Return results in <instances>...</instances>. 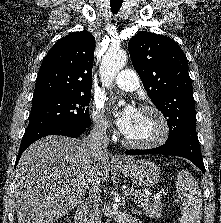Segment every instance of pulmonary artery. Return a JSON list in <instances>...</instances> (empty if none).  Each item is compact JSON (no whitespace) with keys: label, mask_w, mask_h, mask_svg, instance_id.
I'll return each mask as SVG.
<instances>
[{"label":"pulmonary artery","mask_w":221,"mask_h":223,"mask_svg":"<svg viewBox=\"0 0 221 223\" xmlns=\"http://www.w3.org/2000/svg\"><path fill=\"white\" fill-rule=\"evenodd\" d=\"M115 84L126 91H134L140 86V79L132 70H121L115 78Z\"/></svg>","instance_id":"e3ab8cb5"}]
</instances>
